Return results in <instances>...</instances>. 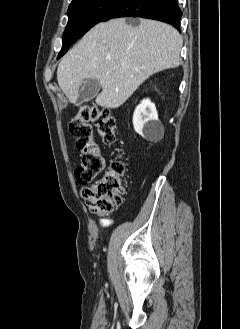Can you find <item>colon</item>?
<instances>
[{"instance_id":"obj_1","label":"colon","mask_w":240,"mask_h":329,"mask_svg":"<svg viewBox=\"0 0 240 329\" xmlns=\"http://www.w3.org/2000/svg\"><path fill=\"white\" fill-rule=\"evenodd\" d=\"M91 123L95 124L99 136L106 144L115 146L116 117L107 107L83 105L69 125L80 151V164L75 170L76 180L80 184L91 183L83 192V198L92 213L106 216L122 204L126 164L124 160L118 159L99 177L104 161L93 140Z\"/></svg>"}]
</instances>
